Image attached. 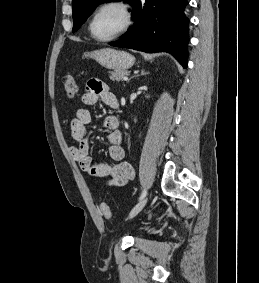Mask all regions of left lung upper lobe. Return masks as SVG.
I'll return each instance as SVG.
<instances>
[{
    "label": "left lung upper lobe",
    "instance_id": "1",
    "mask_svg": "<svg viewBox=\"0 0 259 283\" xmlns=\"http://www.w3.org/2000/svg\"><path fill=\"white\" fill-rule=\"evenodd\" d=\"M125 1L133 5L134 0H72L73 7V32L86 21L92 11L103 2Z\"/></svg>",
    "mask_w": 259,
    "mask_h": 283
}]
</instances>
